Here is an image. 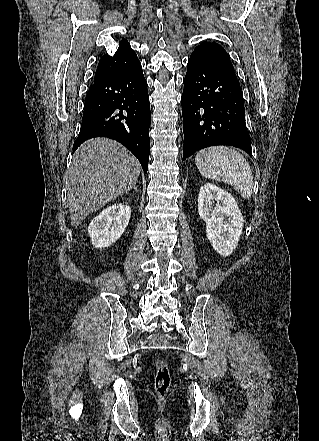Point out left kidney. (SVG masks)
I'll return each instance as SVG.
<instances>
[{
    "label": "left kidney",
    "mask_w": 319,
    "mask_h": 441,
    "mask_svg": "<svg viewBox=\"0 0 319 441\" xmlns=\"http://www.w3.org/2000/svg\"><path fill=\"white\" fill-rule=\"evenodd\" d=\"M198 212L206 222V234L218 254L229 256L238 245L244 218L235 199L212 183L201 187Z\"/></svg>",
    "instance_id": "obj_1"
}]
</instances>
